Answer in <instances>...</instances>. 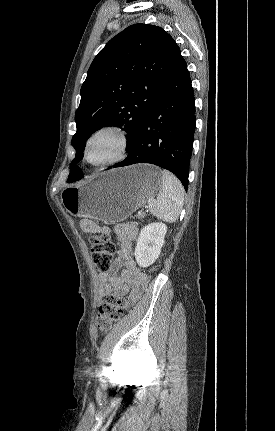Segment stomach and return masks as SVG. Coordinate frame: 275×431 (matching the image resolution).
I'll return each mask as SVG.
<instances>
[{
	"instance_id": "0dacf381",
	"label": "stomach",
	"mask_w": 275,
	"mask_h": 431,
	"mask_svg": "<svg viewBox=\"0 0 275 431\" xmlns=\"http://www.w3.org/2000/svg\"><path fill=\"white\" fill-rule=\"evenodd\" d=\"M158 167L137 164L103 172L78 187H67L61 201L72 216L109 223L125 220L161 188Z\"/></svg>"
}]
</instances>
